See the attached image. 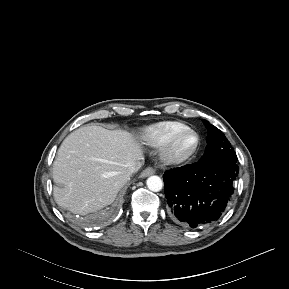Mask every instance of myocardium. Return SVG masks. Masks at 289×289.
<instances>
[{
    "label": "myocardium",
    "mask_w": 289,
    "mask_h": 289,
    "mask_svg": "<svg viewBox=\"0 0 289 289\" xmlns=\"http://www.w3.org/2000/svg\"><path fill=\"white\" fill-rule=\"evenodd\" d=\"M192 134L195 136L196 143L192 150L187 153H178L176 151L177 142L185 135ZM200 136L199 134L191 129L182 130L175 135H173L165 144H163L160 151V160L164 165L175 166L183 164L189 160H191L199 150L200 147Z\"/></svg>",
    "instance_id": "f54148a6"
}]
</instances>
